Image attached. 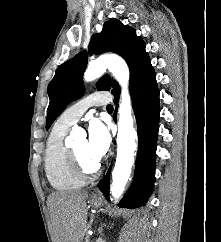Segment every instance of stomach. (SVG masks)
Instances as JSON below:
<instances>
[{
  "instance_id": "stomach-1",
  "label": "stomach",
  "mask_w": 221,
  "mask_h": 242,
  "mask_svg": "<svg viewBox=\"0 0 221 242\" xmlns=\"http://www.w3.org/2000/svg\"><path fill=\"white\" fill-rule=\"evenodd\" d=\"M89 203L93 206V207H100L102 205V200L101 199H94V198H91L89 200Z\"/></svg>"
}]
</instances>
